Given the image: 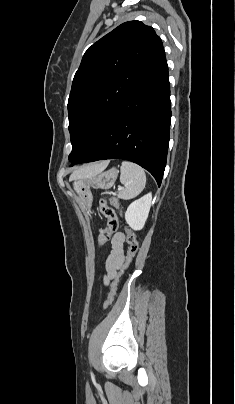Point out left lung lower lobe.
<instances>
[{
	"label": "left lung lower lobe",
	"mask_w": 235,
	"mask_h": 404,
	"mask_svg": "<svg viewBox=\"0 0 235 404\" xmlns=\"http://www.w3.org/2000/svg\"><path fill=\"white\" fill-rule=\"evenodd\" d=\"M171 118L166 58L121 102L90 147L71 165L125 159L148 170L160 186Z\"/></svg>",
	"instance_id": "1"
}]
</instances>
